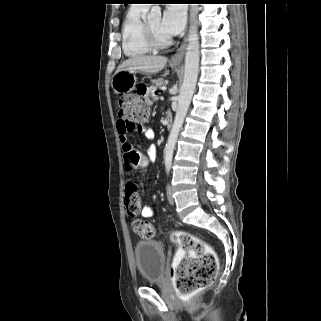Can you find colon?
Segmentation results:
<instances>
[{
    "label": "colon",
    "mask_w": 321,
    "mask_h": 321,
    "mask_svg": "<svg viewBox=\"0 0 321 321\" xmlns=\"http://www.w3.org/2000/svg\"><path fill=\"white\" fill-rule=\"evenodd\" d=\"M148 115V107L140 97L128 95L119 100V119L129 130H140ZM125 164L128 169L136 170L145 167L147 159L135 151L127 157ZM125 208L130 217L140 209V190L132 182L125 187ZM133 230L143 238L155 235L154 226L148 221L134 222ZM171 239L179 246L171 269L172 279L178 295L189 298L215 280L219 270L218 259L207 243L189 232L173 231Z\"/></svg>",
    "instance_id": "5ec220e1"
}]
</instances>
